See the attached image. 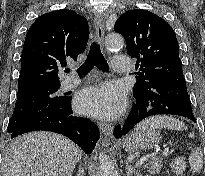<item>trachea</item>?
<instances>
[{"label":"trachea","mask_w":205,"mask_h":176,"mask_svg":"<svg viewBox=\"0 0 205 176\" xmlns=\"http://www.w3.org/2000/svg\"><path fill=\"white\" fill-rule=\"evenodd\" d=\"M94 66L103 71L109 70L108 63L101 53L100 46L96 43L91 45L86 61L78 68L77 72L80 76L84 75L92 70ZM66 72H69V69H66Z\"/></svg>","instance_id":"3493384b"}]
</instances>
